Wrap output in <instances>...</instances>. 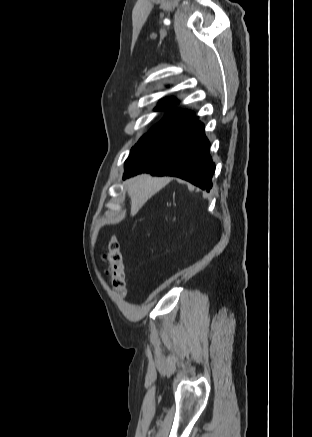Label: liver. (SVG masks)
Wrapping results in <instances>:
<instances>
[{
	"mask_svg": "<svg viewBox=\"0 0 312 437\" xmlns=\"http://www.w3.org/2000/svg\"><path fill=\"white\" fill-rule=\"evenodd\" d=\"M171 180L169 177H152L147 174L128 180L127 189L131 200V215H135L148 199L164 188Z\"/></svg>",
	"mask_w": 312,
	"mask_h": 437,
	"instance_id": "liver-1",
	"label": "liver"
}]
</instances>
